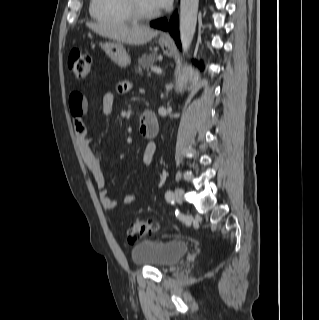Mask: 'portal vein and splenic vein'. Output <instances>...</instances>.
<instances>
[{
  "label": "portal vein and splenic vein",
  "instance_id": "obj_1",
  "mask_svg": "<svg viewBox=\"0 0 319 320\" xmlns=\"http://www.w3.org/2000/svg\"><path fill=\"white\" fill-rule=\"evenodd\" d=\"M151 71L155 73H162V70L159 67H151Z\"/></svg>",
  "mask_w": 319,
  "mask_h": 320
}]
</instances>
